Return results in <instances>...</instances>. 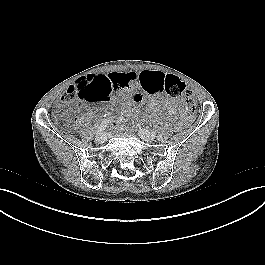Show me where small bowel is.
<instances>
[{
  "mask_svg": "<svg viewBox=\"0 0 265 265\" xmlns=\"http://www.w3.org/2000/svg\"><path fill=\"white\" fill-rule=\"evenodd\" d=\"M166 75L168 74L159 70H144L138 73L131 71L89 75L81 80H92L95 78L104 79L108 83L111 91L116 95L131 93L137 88H141L145 92L155 95L157 87L164 81ZM160 106H162L168 113L175 114L178 111L180 104L178 101L170 98L155 99L149 103L148 111L156 113ZM124 109L126 112H131L132 110L130 105H125ZM93 117L94 113H86L82 115L77 122H82Z\"/></svg>",
  "mask_w": 265,
  "mask_h": 265,
  "instance_id": "c3829d8e",
  "label": "small bowel"
}]
</instances>
